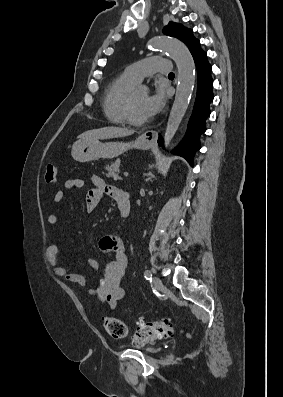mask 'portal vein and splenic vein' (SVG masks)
I'll use <instances>...</instances> for the list:
<instances>
[{
	"label": "portal vein and splenic vein",
	"instance_id": "18ae733b",
	"mask_svg": "<svg viewBox=\"0 0 283 397\" xmlns=\"http://www.w3.org/2000/svg\"><path fill=\"white\" fill-rule=\"evenodd\" d=\"M124 176H125V177H128V176H129V173H128V172H124Z\"/></svg>",
	"mask_w": 283,
	"mask_h": 397
}]
</instances>
